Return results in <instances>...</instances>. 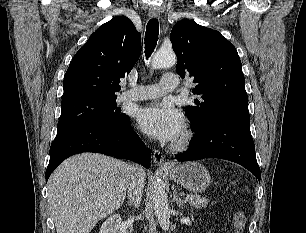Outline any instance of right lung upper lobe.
Listing matches in <instances>:
<instances>
[{
	"instance_id": "1",
	"label": "right lung upper lobe",
	"mask_w": 306,
	"mask_h": 233,
	"mask_svg": "<svg viewBox=\"0 0 306 233\" xmlns=\"http://www.w3.org/2000/svg\"><path fill=\"white\" fill-rule=\"evenodd\" d=\"M141 53L140 33L130 19L114 17L99 27L75 54L63 81L62 103L87 98H116Z\"/></svg>"
}]
</instances>
